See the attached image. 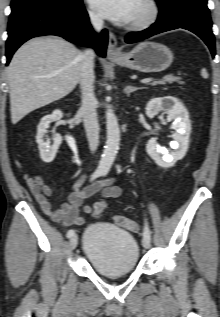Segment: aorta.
<instances>
[{"label":"aorta","mask_w":220,"mask_h":317,"mask_svg":"<svg viewBox=\"0 0 220 317\" xmlns=\"http://www.w3.org/2000/svg\"><path fill=\"white\" fill-rule=\"evenodd\" d=\"M107 140L99 163L101 171H108L119 150L120 129L117 117L111 109L106 111Z\"/></svg>","instance_id":"obj_1"}]
</instances>
